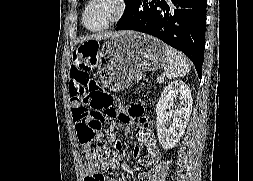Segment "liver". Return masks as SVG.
I'll return each instance as SVG.
<instances>
[{
	"label": "liver",
	"instance_id": "1",
	"mask_svg": "<svg viewBox=\"0 0 253 181\" xmlns=\"http://www.w3.org/2000/svg\"><path fill=\"white\" fill-rule=\"evenodd\" d=\"M118 33H120V32H118ZM118 33H115V34H110V35H108V34H95V35H91V36H89V37H86V38H84L83 40L84 41H86V40H101V39H103L104 37H106V36H111V37H113V36H115L116 34H118Z\"/></svg>",
	"mask_w": 253,
	"mask_h": 181
}]
</instances>
